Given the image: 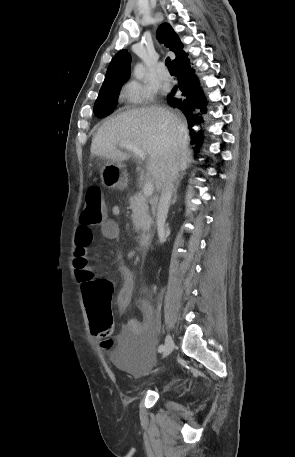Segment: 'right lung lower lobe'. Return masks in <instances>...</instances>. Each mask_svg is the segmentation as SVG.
I'll return each instance as SVG.
<instances>
[{
    "label": "right lung lower lobe",
    "instance_id": "obj_1",
    "mask_svg": "<svg viewBox=\"0 0 295 457\" xmlns=\"http://www.w3.org/2000/svg\"><path fill=\"white\" fill-rule=\"evenodd\" d=\"M188 54L182 52L174 61V67L178 78V85L175 86L172 92L167 96L171 106L179 108L187 118L188 125L193 126L200 122L199 116H194L192 111L194 108H201L202 113H206L205 97L199 88V81L194 74V70L190 67ZM180 92V97H175V92ZM191 136L194 143H200L202 139L201 132L197 135L191 129Z\"/></svg>",
    "mask_w": 295,
    "mask_h": 457
}]
</instances>
